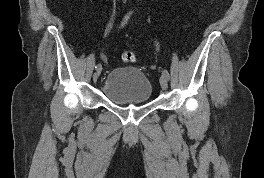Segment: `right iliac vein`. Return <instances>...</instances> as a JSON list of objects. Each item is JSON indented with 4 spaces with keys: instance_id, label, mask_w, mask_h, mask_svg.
Wrapping results in <instances>:
<instances>
[{
    "instance_id": "63e3f726",
    "label": "right iliac vein",
    "mask_w": 264,
    "mask_h": 178,
    "mask_svg": "<svg viewBox=\"0 0 264 178\" xmlns=\"http://www.w3.org/2000/svg\"><path fill=\"white\" fill-rule=\"evenodd\" d=\"M101 70H97L94 74H93V81L96 82L100 76Z\"/></svg>"
}]
</instances>
